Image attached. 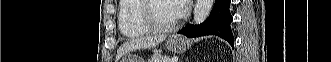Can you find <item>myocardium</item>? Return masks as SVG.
<instances>
[{
    "mask_svg": "<svg viewBox=\"0 0 331 62\" xmlns=\"http://www.w3.org/2000/svg\"><path fill=\"white\" fill-rule=\"evenodd\" d=\"M155 0H141L139 20L141 24L152 32H166L176 28L180 23V17L169 24L158 23L151 15V5Z\"/></svg>",
    "mask_w": 331,
    "mask_h": 62,
    "instance_id": "myocardium-1",
    "label": "myocardium"
}]
</instances>
